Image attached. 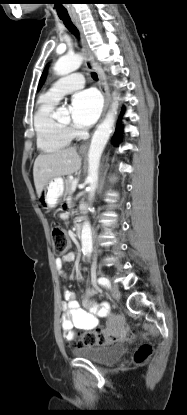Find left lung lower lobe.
<instances>
[{"instance_id":"left-lung-lower-lobe-1","label":"left lung lower lobe","mask_w":187,"mask_h":415,"mask_svg":"<svg viewBox=\"0 0 187 415\" xmlns=\"http://www.w3.org/2000/svg\"><path fill=\"white\" fill-rule=\"evenodd\" d=\"M123 114V111L121 113V115ZM121 115L119 117L118 123H117V127H116V131L115 134L112 138V144L115 146H119L120 144V136H121V132H122V125L120 124V119H121Z\"/></svg>"}]
</instances>
